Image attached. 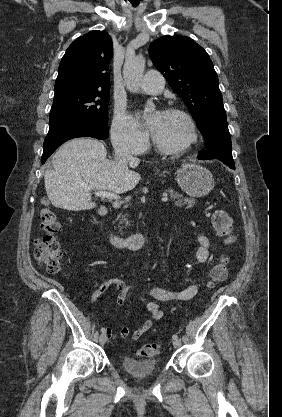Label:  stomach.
<instances>
[{"mask_svg":"<svg viewBox=\"0 0 282 417\" xmlns=\"http://www.w3.org/2000/svg\"><path fill=\"white\" fill-rule=\"evenodd\" d=\"M177 182L189 196H205L214 188L212 172L196 162H188L177 170Z\"/></svg>","mask_w":282,"mask_h":417,"instance_id":"0dacf381","label":"stomach"}]
</instances>
